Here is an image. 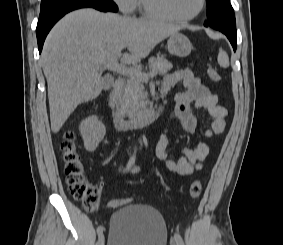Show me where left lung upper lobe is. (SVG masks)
I'll return each instance as SVG.
<instances>
[{
    "label": "left lung upper lobe",
    "instance_id": "5c2ea615",
    "mask_svg": "<svg viewBox=\"0 0 283 245\" xmlns=\"http://www.w3.org/2000/svg\"><path fill=\"white\" fill-rule=\"evenodd\" d=\"M207 21L210 26L221 32L236 34L235 15L229 0H206Z\"/></svg>",
    "mask_w": 283,
    "mask_h": 245
}]
</instances>
